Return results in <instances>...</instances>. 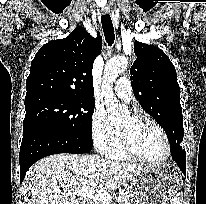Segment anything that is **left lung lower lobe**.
Returning <instances> with one entry per match:
<instances>
[{
	"label": "left lung lower lobe",
	"mask_w": 206,
	"mask_h": 204,
	"mask_svg": "<svg viewBox=\"0 0 206 204\" xmlns=\"http://www.w3.org/2000/svg\"><path fill=\"white\" fill-rule=\"evenodd\" d=\"M172 159L177 163L183 174H186V152L178 145H171Z\"/></svg>",
	"instance_id": "obj_1"
}]
</instances>
